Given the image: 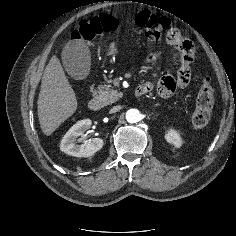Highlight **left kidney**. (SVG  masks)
<instances>
[{
  "mask_svg": "<svg viewBox=\"0 0 236 236\" xmlns=\"http://www.w3.org/2000/svg\"><path fill=\"white\" fill-rule=\"evenodd\" d=\"M165 139L167 142L173 144L177 148H179L182 145V139L180 137V134L173 129H170L165 134Z\"/></svg>",
  "mask_w": 236,
  "mask_h": 236,
  "instance_id": "1",
  "label": "left kidney"
}]
</instances>
